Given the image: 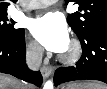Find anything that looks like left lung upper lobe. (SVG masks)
<instances>
[{
	"mask_svg": "<svg viewBox=\"0 0 107 89\" xmlns=\"http://www.w3.org/2000/svg\"><path fill=\"white\" fill-rule=\"evenodd\" d=\"M75 2L79 4V11L69 14L67 22L79 38L94 28L107 27V0H75Z\"/></svg>",
	"mask_w": 107,
	"mask_h": 89,
	"instance_id": "5c2ea615",
	"label": "left lung upper lobe"
}]
</instances>
